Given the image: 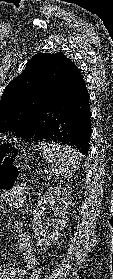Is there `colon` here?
Returning <instances> with one entry per match:
<instances>
[{"label": "colon", "mask_w": 113, "mask_h": 279, "mask_svg": "<svg viewBox=\"0 0 113 279\" xmlns=\"http://www.w3.org/2000/svg\"><path fill=\"white\" fill-rule=\"evenodd\" d=\"M15 148L12 145L0 146V189L13 193L19 187V166L15 163Z\"/></svg>", "instance_id": "colon-1"}]
</instances>
